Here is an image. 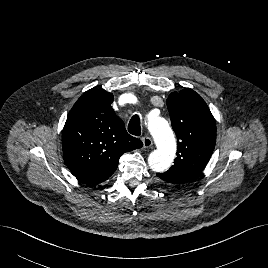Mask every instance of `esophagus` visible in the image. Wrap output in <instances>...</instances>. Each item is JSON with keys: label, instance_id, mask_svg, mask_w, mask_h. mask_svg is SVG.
I'll return each mask as SVG.
<instances>
[{"label": "esophagus", "instance_id": "1", "mask_svg": "<svg viewBox=\"0 0 268 268\" xmlns=\"http://www.w3.org/2000/svg\"><path fill=\"white\" fill-rule=\"evenodd\" d=\"M142 142L144 148H150L153 145V140L148 136L143 137Z\"/></svg>", "mask_w": 268, "mask_h": 268}]
</instances>
